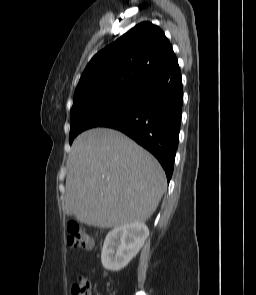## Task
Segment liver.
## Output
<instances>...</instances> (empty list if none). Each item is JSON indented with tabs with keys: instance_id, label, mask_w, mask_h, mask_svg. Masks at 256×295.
Wrapping results in <instances>:
<instances>
[{
	"instance_id": "liver-1",
	"label": "liver",
	"mask_w": 256,
	"mask_h": 295,
	"mask_svg": "<svg viewBox=\"0 0 256 295\" xmlns=\"http://www.w3.org/2000/svg\"><path fill=\"white\" fill-rule=\"evenodd\" d=\"M166 185L160 163L133 140L116 130L91 129L73 142L63 211L100 228L144 223Z\"/></svg>"
}]
</instances>
